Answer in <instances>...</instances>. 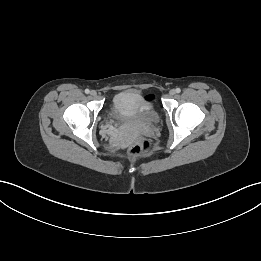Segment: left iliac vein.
Wrapping results in <instances>:
<instances>
[{
  "instance_id": "obj_1",
  "label": "left iliac vein",
  "mask_w": 261,
  "mask_h": 261,
  "mask_svg": "<svg viewBox=\"0 0 261 261\" xmlns=\"http://www.w3.org/2000/svg\"><path fill=\"white\" fill-rule=\"evenodd\" d=\"M175 94H176V90L171 89V90L169 91V95H170V96H174Z\"/></svg>"
}]
</instances>
